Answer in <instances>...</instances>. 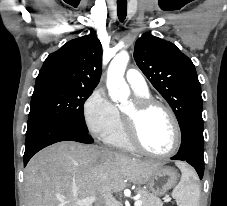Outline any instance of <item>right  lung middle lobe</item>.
I'll list each match as a JSON object with an SVG mask.
<instances>
[{"label": "right lung middle lobe", "instance_id": "dd1d6c3e", "mask_svg": "<svg viewBox=\"0 0 227 206\" xmlns=\"http://www.w3.org/2000/svg\"><path fill=\"white\" fill-rule=\"evenodd\" d=\"M93 90L59 83L36 84L28 128L46 120L68 122L84 128L83 105Z\"/></svg>", "mask_w": 227, "mask_h": 206}]
</instances>
